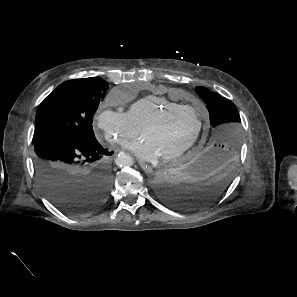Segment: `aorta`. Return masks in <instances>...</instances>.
Segmentation results:
<instances>
[{
	"mask_svg": "<svg viewBox=\"0 0 297 297\" xmlns=\"http://www.w3.org/2000/svg\"><path fill=\"white\" fill-rule=\"evenodd\" d=\"M115 163L119 167H125V166L133 164V159L131 156H129L126 153H120L115 158Z\"/></svg>",
	"mask_w": 297,
	"mask_h": 297,
	"instance_id": "1",
	"label": "aorta"
}]
</instances>
